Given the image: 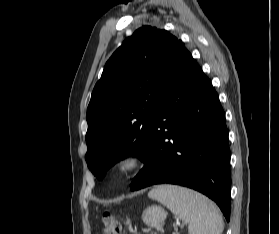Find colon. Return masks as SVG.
<instances>
[{
	"label": "colon",
	"mask_w": 279,
	"mask_h": 234,
	"mask_svg": "<svg viewBox=\"0 0 279 234\" xmlns=\"http://www.w3.org/2000/svg\"><path fill=\"white\" fill-rule=\"evenodd\" d=\"M102 234H120L122 222L112 216L110 213H104L102 216Z\"/></svg>",
	"instance_id": "colon-1"
}]
</instances>
